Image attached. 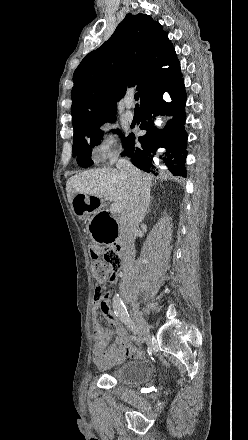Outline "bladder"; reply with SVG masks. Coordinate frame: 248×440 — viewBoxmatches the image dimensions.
I'll use <instances>...</instances> for the list:
<instances>
[{
  "label": "bladder",
  "instance_id": "1",
  "mask_svg": "<svg viewBox=\"0 0 248 440\" xmlns=\"http://www.w3.org/2000/svg\"><path fill=\"white\" fill-rule=\"evenodd\" d=\"M107 375L117 384L131 386L149 380L152 370L144 362L127 361L114 367Z\"/></svg>",
  "mask_w": 248,
  "mask_h": 440
}]
</instances>
